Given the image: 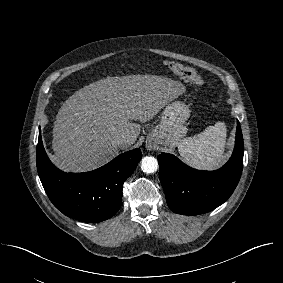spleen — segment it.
Masks as SVG:
<instances>
[{
    "mask_svg": "<svg viewBox=\"0 0 283 283\" xmlns=\"http://www.w3.org/2000/svg\"><path fill=\"white\" fill-rule=\"evenodd\" d=\"M227 137L225 123L217 122L203 132L178 143V152L190 166L200 170H215L223 163Z\"/></svg>",
    "mask_w": 283,
    "mask_h": 283,
    "instance_id": "obj_1",
    "label": "spleen"
}]
</instances>
